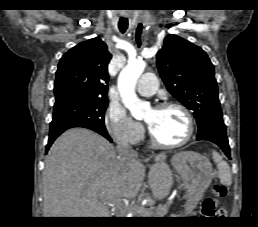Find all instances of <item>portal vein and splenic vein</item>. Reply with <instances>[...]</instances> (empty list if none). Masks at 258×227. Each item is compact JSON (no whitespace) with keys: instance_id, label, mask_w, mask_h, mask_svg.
I'll return each mask as SVG.
<instances>
[{"instance_id":"1","label":"portal vein and splenic vein","mask_w":258,"mask_h":227,"mask_svg":"<svg viewBox=\"0 0 258 227\" xmlns=\"http://www.w3.org/2000/svg\"><path fill=\"white\" fill-rule=\"evenodd\" d=\"M108 202L113 203V204L117 203L116 200H112V199L108 200ZM134 209H143V207H141V206L130 207V210H134Z\"/></svg>"}]
</instances>
